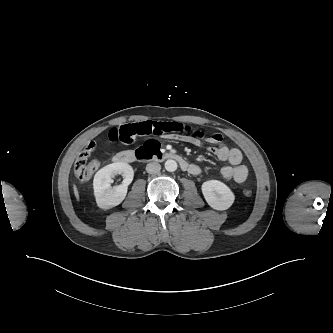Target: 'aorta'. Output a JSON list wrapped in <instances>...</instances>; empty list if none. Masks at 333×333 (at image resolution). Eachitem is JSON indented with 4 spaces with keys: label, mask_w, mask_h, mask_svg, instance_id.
I'll use <instances>...</instances> for the list:
<instances>
[{
    "label": "aorta",
    "mask_w": 333,
    "mask_h": 333,
    "mask_svg": "<svg viewBox=\"0 0 333 333\" xmlns=\"http://www.w3.org/2000/svg\"><path fill=\"white\" fill-rule=\"evenodd\" d=\"M165 169L168 171V172H174L177 170V162L175 160H172V159H168L165 164Z\"/></svg>",
    "instance_id": "762f6f07"
}]
</instances>
